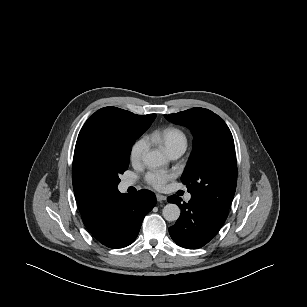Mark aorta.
I'll return each instance as SVG.
<instances>
[{
  "instance_id": "obj_1",
  "label": "aorta",
  "mask_w": 307,
  "mask_h": 307,
  "mask_svg": "<svg viewBox=\"0 0 307 307\" xmlns=\"http://www.w3.org/2000/svg\"><path fill=\"white\" fill-rule=\"evenodd\" d=\"M143 161L148 167H159L166 163V158L160 151L152 150L145 154ZM180 213V208L172 203L164 206L162 210L163 217L170 222L178 220Z\"/></svg>"
}]
</instances>
